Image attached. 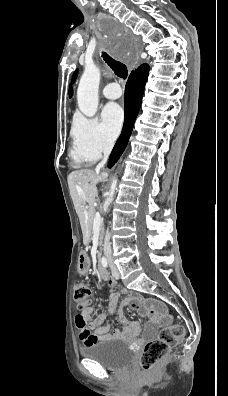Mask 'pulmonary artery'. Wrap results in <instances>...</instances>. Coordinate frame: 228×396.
<instances>
[{"label": "pulmonary artery", "mask_w": 228, "mask_h": 396, "mask_svg": "<svg viewBox=\"0 0 228 396\" xmlns=\"http://www.w3.org/2000/svg\"><path fill=\"white\" fill-rule=\"evenodd\" d=\"M104 97L107 99H117L122 95V90L119 84L113 82L107 84L102 91Z\"/></svg>", "instance_id": "1"}]
</instances>
